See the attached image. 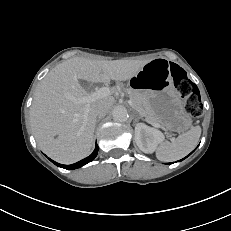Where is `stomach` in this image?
<instances>
[{
    "instance_id": "0dacf381",
    "label": "stomach",
    "mask_w": 231,
    "mask_h": 231,
    "mask_svg": "<svg viewBox=\"0 0 231 231\" xmlns=\"http://www.w3.org/2000/svg\"><path fill=\"white\" fill-rule=\"evenodd\" d=\"M131 86L148 100L167 132L180 133L190 128L191 115L185 111V102L174 87L167 60L149 61L132 77Z\"/></svg>"
}]
</instances>
